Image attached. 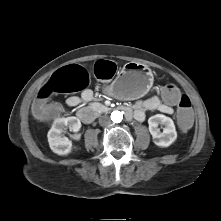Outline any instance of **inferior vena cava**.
<instances>
[{
    "mask_svg": "<svg viewBox=\"0 0 221 221\" xmlns=\"http://www.w3.org/2000/svg\"><path fill=\"white\" fill-rule=\"evenodd\" d=\"M111 121L110 118L107 115H103L99 118V124L101 126H108L110 125Z\"/></svg>",
    "mask_w": 221,
    "mask_h": 221,
    "instance_id": "obj_1",
    "label": "inferior vena cava"
}]
</instances>
